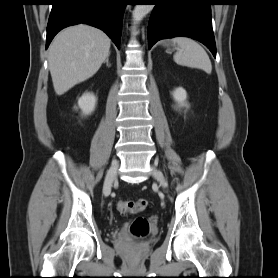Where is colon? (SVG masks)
<instances>
[{
    "label": "colon",
    "mask_w": 278,
    "mask_h": 278,
    "mask_svg": "<svg viewBox=\"0 0 278 278\" xmlns=\"http://www.w3.org/2000/svg\"><path fill=\"white\" fill-rule=\"evenodd\" d=\"M148 207L146 199H138L135 201H120L118 209L124 214H136L143 212ZM149 232V222L144 217H138L131 225V233L137 237H145Z\"/></svg>",
    "instance_id": "obj_1"
}]
</instances>
